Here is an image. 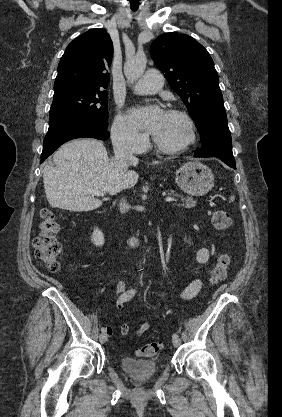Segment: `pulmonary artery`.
<instances>
[{"instance_id": "pulmonary-artery-1", "label": "pulmonary artery", "mask_w": 282, "mask_h": 417, "mask_svg": "<svg viewBox=\"0 0 282 417\" xmlns=\"http://www.w3.org/2000/svg\"><path fill=\"white\" fill-rule=\"evenodd\" d=\"M164 78L159 70H146L144 76L132 87L137 94H153L162 89Z\"/></svg>"}]
</instances>
